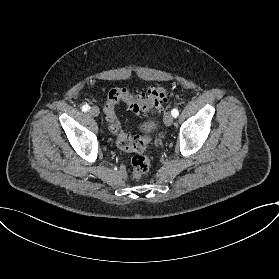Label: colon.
I'll list each match as a JSON object with an SVG mask.
<instances>
[{
    "instance_id": "5ec220e1",
    "label": "colon",
    "mask_w": 279,
    "mask_h": 279,
    "mask_svg": "<svg viewBox=\"0 0 279 279\" xmlns=\"http://www.w3.org/2000/svg\"><path fill=\"white\" fill-rule=\"evenodd\" d=\"M168 97V89L161 86L149 88L143 93H132L127 88L122 87H114L109 90L103 111L106 120L110 123L111 132L117 137V145L122 151L144 152L151 142V137H132L126 133L116 115L115 106L119 102H123L131 112L148 115L158 111L161 105L168 100ZM149 168V157L137 155L132 158V170L136 177L145 175Z\"/></svg>"
}]
</instances>
